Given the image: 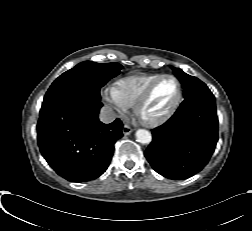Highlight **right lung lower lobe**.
I'll list each match as a JSON object with an SVG mask.
<instances>
[{
	"label": "right lung lower lobe",
	"instance_id": "98d812e1",
	"mask_svg": "<svg viewBox=\"0 0 252 231\" xmlns=\"http://www.w3.org/2000/svg\"><path fill=\"white\" fill-rule=\"evenodd\" d=\"M102 103L87 96H64L43 104L37 124L40 151L48 164L68 181L94 180L111 161L114 143L123 136L116 119H98Z\"/></svg>",
	"mask_w": 252,
	"mask_h": 231
}]
</instances>
